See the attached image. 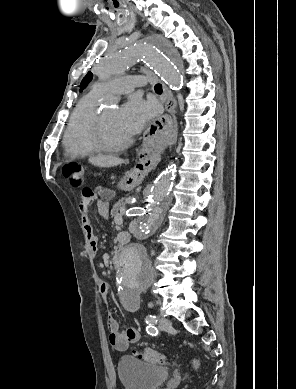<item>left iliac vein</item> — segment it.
<instances>
[{"label": "left iliac vein", "mask_w": 296, "mask_h": 389, "mask_svg": "<svg viewBox=\"0 0 296 389\" xmlns=\"http://www.w3.org/2000/svg\"><path fill=\"white\" fill-rule=\"evenodd\" d=\"M159 327L164 330L168 329L169 327H171L170 320L163 316H159Z\"/></svg>", "instance_id": "1"}]
</instances>
